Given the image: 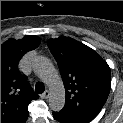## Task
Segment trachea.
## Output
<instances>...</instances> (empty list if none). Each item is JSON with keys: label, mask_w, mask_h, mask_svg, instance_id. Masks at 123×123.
I'll return each instance as SVG.
<instances>
[{"label": "trachea", "mask_w": 123, "mask_h": 123, "mask_svg": "<svg viewBox=\"0 0 123 123\" xmlns=\"http://www.w3.org/2000/svg\"><path fill=\"white\" fill-rule=\"evenodd\" d=\"M35 91H36V93H39V94L43 93L45 91L44 84L41 83V82L36 83V85H35Z\"/></svg>", "instance_id": "obj_1"}]
</instances>
